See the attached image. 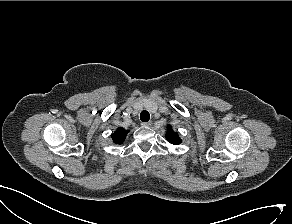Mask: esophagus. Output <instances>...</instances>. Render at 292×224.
<instances>
[{"label":"esophagus","instance_id":"obj_1","mask_svg":"<svg viewBox=\"0 0 292 224\" xmlns=\"http://www.w3.org/2000/svg\"><path fill=\"white\" fill-rule=\"evenodd\" d=\"M142 126L150 127V126H152V121L144 122V123H142Z\"/></svg>","mask_w":292,"mask_h":224}]
</instances>
